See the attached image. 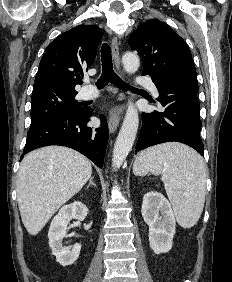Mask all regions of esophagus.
<instances>
[{
    "instance_id": "esophagus-1",
    "label": "esophagus",
    "mask_w": 232,
    "mask_h": 282,
    "mask_svg": "<svg viewBox=\"0 0 232 282\" xmlns=\"http://www.w3.org/2000/svg\"><path fill=\"white\" fill-rule=\"evenodd\" d=\"M112 56L117 69H120V55H119V42L117 37H113L111 41ZM122 99V98H121ZM122 106L116 107L111 113L108 121L109 132L112 134L116 131L119 121Z\"/></svg>"
}]
</instances>
